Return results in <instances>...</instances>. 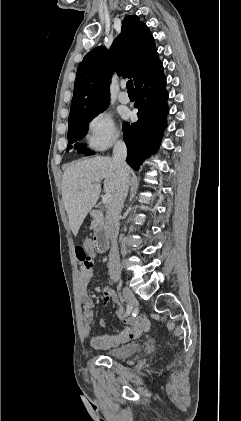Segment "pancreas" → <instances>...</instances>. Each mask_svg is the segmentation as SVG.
Here are the masks:
<instances>
[{
    "mask_svg": "<svg viewBox=\"0 0 241 421\" xmlns=\"http://www.w3.org/2000/svg\"><path fill=\"white\" fill-rule=\"evenodd\" d=\"M92 228L95 230L96 229V224L95 222H92Z\"/></svg>",
    "mask_w": 241,
    "mask_h": 421,
    "instance_id": "obj_1",
    "label": "pancreas"
}]
</instances>
